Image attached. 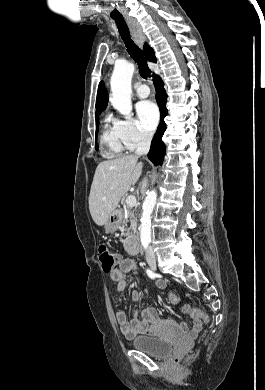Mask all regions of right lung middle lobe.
I'll use <instances>...</instances> for the list:
<instances>
[{
	"label": "right lung middle lobe",
	"mask_w": 265,
	"mask_h": 390,
	"mask_svg": "<svg viewBox=\"0 0 265 390\" xmlns=\"http://www.w3.org/2000/svg\"><path fill=\"white\" fill-rule=\"evenodd\" d=\"M98 128H99V117L96 118V138H97ZM95 148L96 150H98L97 142H95Z\"/></svg>",
	"instance_id": "1"
}]
</instances>
